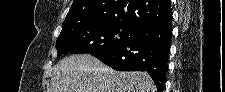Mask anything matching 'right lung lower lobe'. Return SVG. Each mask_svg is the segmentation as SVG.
Returning a JSON list of instances; mask_svg holds the SVG:
<instances>
[{
    "instance_id": "1",
    "label": "right lung lower lobe",
    "mask_w": 225,
    "mask_h": 92,
    "mask_svg": "<svg viewBox=\"0 0 225 92\" xmlns=\"http://www.w3.org/2000/svg\"><path fill=\"white\" fill-rule=\"evenodd\" d=\"M172 39V20L136 28L124 43L91 55L117 71H147L163 92Z\"/></svg>"
}]
</instances>
